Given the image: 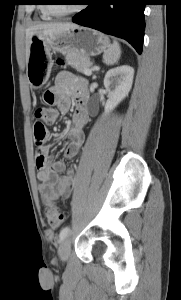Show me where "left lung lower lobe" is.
Wrapping results in <instances>:
<instances>
[{
  "label": "left lung lower lobe",
  "mask_w": 181,
  "mask_h": 300,
  "mask_svg": "<svg viewBox=\"0 0 181 300\" xmlns=\"http://www.w3.org/2000/svg\"><path fill=\"white\" fill-rule=\"evenodd\" d=\"M73 22L128 41L141 54L146 0H87Z\"/></svg>",
  "instance_id": "left-lung-lower-lobe-1"
}]
</instances>
